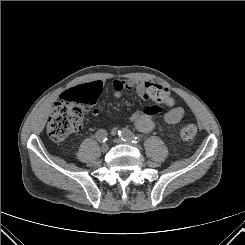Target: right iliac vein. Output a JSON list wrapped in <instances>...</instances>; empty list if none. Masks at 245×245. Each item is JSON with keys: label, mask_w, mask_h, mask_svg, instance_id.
Wrapping results in <instances>:
<instances>
[{"label": "right iliac vein", "mask_w": 245, "mask_h": 245, "mask_svg": "<svg viewBox=\"0 0 245 245\" xmlns=\"http://www.w3.org/2000/svg\"><path fill=\"white\" fill-rule=\"evenodd\" d=\"M108 149H109V146H108V144H106V143H104V144L101 146L102 152H107Z\"/></svg>", "instance_id": "63e3f726"}]
</instances>
